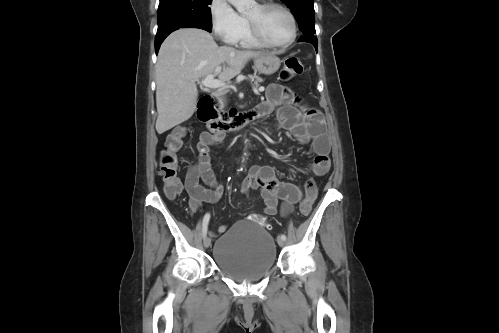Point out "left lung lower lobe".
<instances>
[{"label": "left lung lower lobe", "mask_w": 499, "mask_h": 333, "mask_svg": "<svg viewBox=\"0 0 499 333\" xmlns=\"http://www.w3.org/2000/svg\"><path fill=\"white\" fill-rule=\"evenodd\" d=\"M299 42L311 43L317 51V38H316V36L309 35V34H302L301 38L299 39Z\"/></svg>", "instance_id": "obj_1"}]
</instances>
